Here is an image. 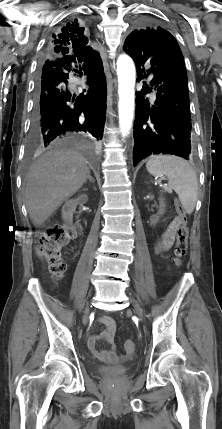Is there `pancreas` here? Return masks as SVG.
Segmentation results:
<instances>
[{
    "instance_id": "pancreas-1",
    "label": "pancreas",
    "mask_w": 222,
    "mask_h": 429,
    "mask_svg": "<svg viewBox=\"0 0 222 429\" xmlns=\"http://www.w3.org/2000/svg\"><path fill=\"white\" fill-rule=\"evenodd\" d=\"M165 191H170V189L168 187H164Z\"/></svg>"
}]
</instances>
